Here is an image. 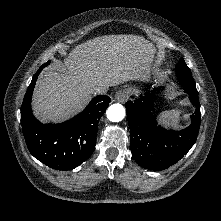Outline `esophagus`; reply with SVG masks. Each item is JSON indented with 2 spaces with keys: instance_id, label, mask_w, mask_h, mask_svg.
Returning <instances> with one entry per match:
<instances>
[{
  "instance_id": "obj_1",
  "label": "esophagus",
  "mask_w": 221,
  "mask_h": 221,
  "mask_svg": "<svg viewBox=\"0 0 221 221\" xmlns=\"http://www.w3.org/2000/svg\"><path fill=\"white\" fill-rule=\"evenodd\" d=\"M129 97H130V91L128 89L119 90L115 95L116 101L121 102V103L128 100Z\"/></svg>"
}]
</instances>
